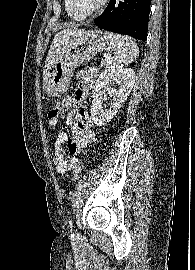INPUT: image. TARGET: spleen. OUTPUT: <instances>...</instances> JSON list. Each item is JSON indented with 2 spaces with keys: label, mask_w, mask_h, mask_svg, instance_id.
I'll use <instances>...</instances> for the list:
<instances>
[{
  "label": "spleen",
  "mask_w": 195,
  "mask_h": 270,
  "mask_svg": "<svg viewBox=\"0 0 195 270\" xmlns=\"http://www.w3.org/2000/svg\"><path fill=\"white\" fill-rule=\"evenodd\" d=\"M105 36L110 41L114 56L110 60L113 68H122L133 62L139 54L137 44L132 38L105 31Z\"/></svg>",
  "instance_id": "spleen-1"
}]
</instances>
